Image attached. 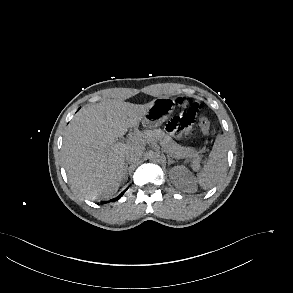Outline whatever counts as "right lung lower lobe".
I'll return each instance as SVG.
<instances>
[{"instance_id":"1","label":"right lung lower lobe","mask_w":293,"mask_h":293,"mask_svg":"<svg viewBox=\"0 0 293 293\" xmlns=\"http://www.w3.org/2000/svg\"><path fill=\"white\" fill-rule=\"evenodd\" d=\"M126 191V190H125ZM124 191V192H125ZM124 192H122L117 198H114V199H112L111 201H116V200H118L119 198H121L122 197V195L124 194Z\"/></svg>"}]
</instances>
